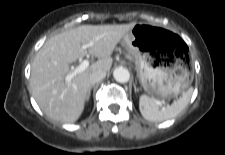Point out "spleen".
<instances>
[{"label": "spleen", "mask_w": 225, "mask_h": 155, "mask_svg": "<svg viewBox=\"0 0 225 155\" xmlns=\"http://www.w3.org/2000/svg\"><path fill=\"white\" fill-rule=\"evenodd\" d=\"M193 93V88H189L183 95L171 105L159 108L155 100L147 95H142L139 99V109L142 116L151 122H161L172 119L181 113L187 106Z\"/></svg>", "instance_id": "3e777b00"}]
</instances>
